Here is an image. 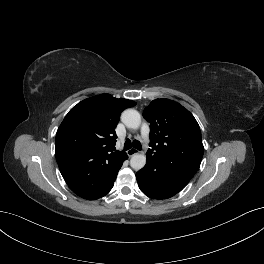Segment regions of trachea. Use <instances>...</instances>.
I'll use <instances>...</instances> for the list:
<instances>
[{
  "mask_svg": "<svg viewBox=\"0 0 264 264\" xmlns=\"http://www.w3.org/2000/svg\"><path fill=\"white\" fill-rule=\"evenodd\" d=\"M131 147H134L137 150H141L142 146L141 143L137 140L131 142V140L127 139L124 144V150H128Z\"/></svg>",
  "mask_w": 264,
  "mask_h": 264,
  "instance_id": "1",
  "label": "trachea"
}]
</instances>
